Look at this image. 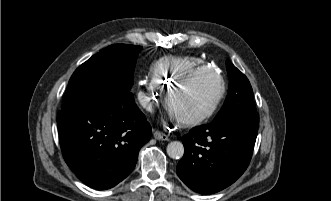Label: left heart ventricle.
I'll return each instance as SVG.
<instances>
[{
	"label": "left heart ventricle",
	"instance_id": "b2bd125f",
	"mask_svg": "<svg viewBox=\"0 0 331 201\" xmlns=\"http://www.w3.org/2000/svg\"><path fill=\"white\" fill-rule=\"evenodd\" d=\"M219 91V82L211 73L197 77L189 85L176 90L171 106L176 115L193 116L204 110Z\"/></svg>",
	"mask_w": 331,
	"mask_h": 201
}]
</instances>
